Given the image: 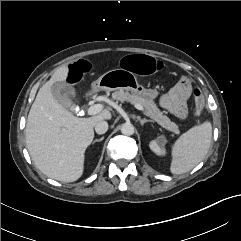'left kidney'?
I'll return each instance as SVG.
<instances>
[{
  "mask_svg": "<svg viewBox=\"0 0 241 241\" xmlns=\"http://www.w3.org/2000/svg\"><path fill=\"white\" fill-rule=\"evenodd\" d=\"M165 144H166V138L164 136H159L157 139L151 141L149 146H150V149L157 155H164Z\"/></svg>",
  "mask_w": 241,
  "mask_h": 241,
  "instance_id": "left-kidney-1",
  "label": "left kidney"
}]
</instances>
